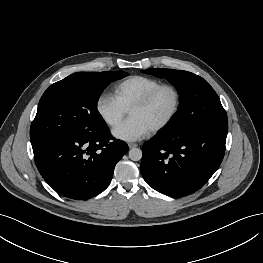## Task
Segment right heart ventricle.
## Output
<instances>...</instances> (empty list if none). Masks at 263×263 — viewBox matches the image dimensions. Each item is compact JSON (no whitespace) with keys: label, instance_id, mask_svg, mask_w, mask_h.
I'll return each mask as SVG.
<instances>
[{"label":"right heart ventricle","instance_id":"e07e8e85","mask_svg":"<svg viewBox=\"0 0 263 263\" xmlns=\"http://www.w3.org/2000/svg\"><path fill=\"white\" fill-rule=\"evenodd\" d=\"M161 84L155 78L135 75L117 83L113 89V96L126 109L140 100L150 90Z\"/></svg>","mask_w":263,"mask_h":263}]
</instances>
